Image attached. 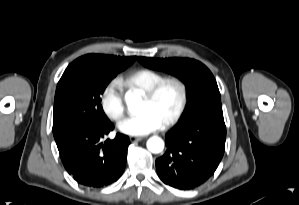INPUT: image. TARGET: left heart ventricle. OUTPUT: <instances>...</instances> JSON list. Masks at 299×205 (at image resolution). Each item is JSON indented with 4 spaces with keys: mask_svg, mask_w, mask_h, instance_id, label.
Returning a JSON list of instances; mask_svg holds the SVG:
<instances>
[{
    "mask_svg": "<svg viewBox=\"0 0 299 205\" xmlns=\"http://www.w3.org/2000/svg\"><path fill=\"white\" fill-rule=\"evenodd\" d=\"M178 102L179 89L174 85H170L153 101H147L142 98L138 107V113L151 112L163 123L175 112Z\"/></svg>",
    "mask_w": 299,
    "mask_h": 205,
    "instance_id": "obj_1",
    "label": "left heart ventricle"
}]
</instances>
